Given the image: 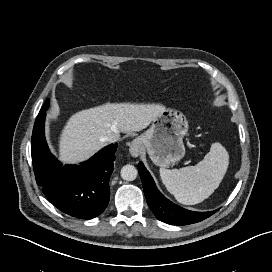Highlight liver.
Listing matches in <instances>:
<instances>
[{"label": "liver", "instance_id": "1", "mask_svg": "<svg viewBox=\"0 0 272 272\" xmlns=\"http://www.w3.org/2000/svg\"><path fill=\"white\" fill-rule=\"evenodd\" d=\"M159 104L110 103L81 110L66 122L59 137V159L75 164L89 159L112 132L131 133L145 129L163 111Z\"/></svg>", "mask_w": 272, "mask_h": 272}]
</instances>
